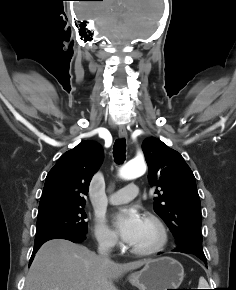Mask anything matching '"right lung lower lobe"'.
<instances>
[{
	"label": "right lung lower lobe",
	"mask_w": 236,
	"mask_h": 290,
	"mask_svg": "<svg viewBox=\"0 0 236 290\" xmlns=\"http://www.w3.org/2000/svg\"><path fill=\"white\" fill-rule=\"evenodd\" d=\"M51 239H67V240H70L74 243H80V242L84 241L86 239V237H85V234H56L53 236L43 238L41 240H37V241H35V244H34V249H33V253H32V256L30 258V261H29V265L32 263L33 258L35 256V253L40 248V246L43 243H45L46 241L51 240Z\"/></svg>",
	"instance_id": "1"
}]
</instances>
